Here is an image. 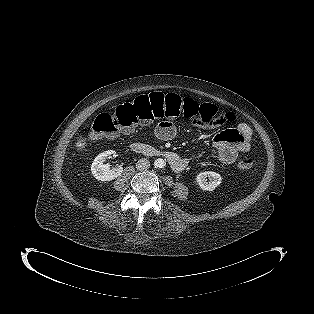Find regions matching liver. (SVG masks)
Segmentation results:
<instances>
[{
	"label": "liver",
	"instance_id": "1",
	"mask_svg": "<svg viewBox=\"0 0 314 314\" xmlns=\"http://www.w3.org/2000/svg\"><path fill=\"white\" fill-rule=\"evenodd\" d=\"M85 140L82 138V139H79L78 141H77V143H76V145H77V150H80L81 148H84L85 147Z\"/></svg>",
	"mask_w": 314,
	"mask_h": 314
}]
</instances>
